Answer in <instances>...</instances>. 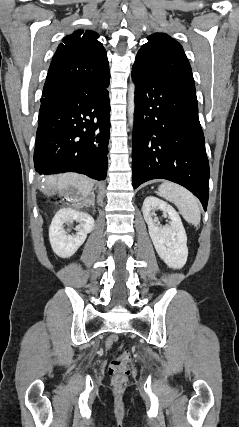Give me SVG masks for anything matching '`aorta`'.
Returning <instances> with one entry per match:
<instances>
[{
  "label": "aorta",
  "instance_id": "aorta-1",
  "mask_svg": "<svg viewBox=\"0 0 239 427\" xmlns=\"http://www.w3.org/2000/svg\"><path fill=\"white\" fill-rule=\"evenodd\" d=\"M135 85L131 83L128 91V118L129 124L132 127L134 124V111H135Z\"/></svg>",
  "mask_w": 239,
  "mask_h": 427
}]
</instances>
